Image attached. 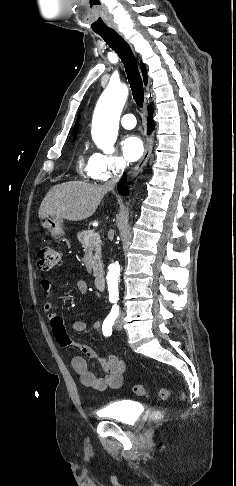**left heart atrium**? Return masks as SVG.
Segmentation results:
<instances>
[{"label": "left heart atrium", "instance_id": "39dd6f15", "mask_svg": "<svg viewBox=\"0 0 236 486\" xmlns=\"http://www.w3.org/2000/svg\"><path fill=\"white\" fill-rule=\"evenodd\" d=\"M124 158L129 162L138 160L144 151L141 139L135 135L126 136L121 142Z\"/></svg>", "mask_w": 236, "mask_h": 486}]
</instances>
